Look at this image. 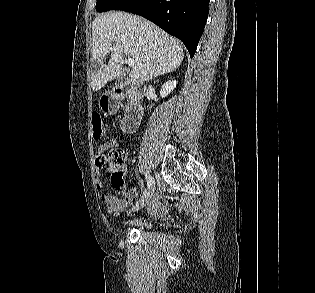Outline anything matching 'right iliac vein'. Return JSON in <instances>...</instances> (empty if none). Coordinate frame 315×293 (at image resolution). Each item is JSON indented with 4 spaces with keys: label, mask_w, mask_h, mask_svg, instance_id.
I'll list each match as a JSON object with an SVG mask.
<instances>
[{
    "label": "right iliac vein",
    "mask_w": 315,
    "mask_h": 293,
    "mask_svg": "<svg viewBox=\"0 0 315 293\" xmlns=\"http://www.w3.org/2000/svg\"><path fill=\"white\" fill-rule=\"evenodd\" d=\"M154 194V186H151V189L145 193L141 199L133 206L132 211H138L143 208L146 204L150 202Z\"/></svg>",
    "instance_id": "right-iliac-vein-1"
}]
</instances>
